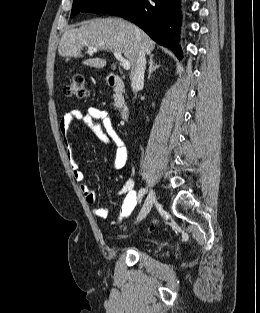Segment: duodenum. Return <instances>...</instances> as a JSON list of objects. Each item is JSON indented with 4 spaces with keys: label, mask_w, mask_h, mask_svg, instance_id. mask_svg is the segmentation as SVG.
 I'll return each mask as SVG.
<instances>
[{
    "label": "duodenum",
    "mask_w": 260,
    "mask_h": 313,
    "mask_svg": "<svg viewBox=\"0 0 260 313\" xmlns=\"http://www.w3.org/2000/svg\"><path fill=\"white\" fill-rule=\"evenodd\" d=\"M108 85L115 91L117 102L119 103L118 113L123 121L130 118L129 107L123 102V94L125 92V85L123 80L116 74L111 73L108 77Z\"/></svg>",
    "instance_id": "1"
}]
</instances>
